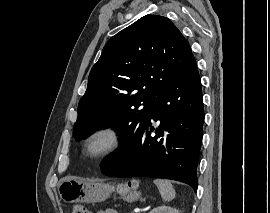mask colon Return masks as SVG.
<instances>
[{
	"instance_id": "5ec220e1",
	"label": "colon",
	"mask_w": 270,
	"mask_h": 213,
	"mask_svg": "<svg viewBox=\"0 0 270 213\" xmlns=\"http://www.w3.org/2000/svg\"><path fill=\"white\" fill-rule=\"evenodd\" d=\"M135 187V183L122 184L117 187L119 193H125ZM72 213H89V211L82 205H76Z\"/></svg>"
}]
</instances>
